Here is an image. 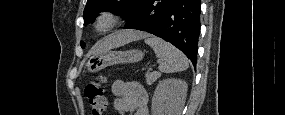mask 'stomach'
<instances>
[{
    "label": "stomach",
    "mask_w": 285,
    "mask_h": 115,
    "mask_svg": "<svg viewBox=\"0 0 285 115\" xmlns=\"http://www.w3.org/2000/svg\"><path fill=\"white\" fill-rule=\"evenodd\" d=\"M143 56L144 53L137 49L96 53L89 58L86 67L89 72L95 73L114 64L138 62Z\"/></svg>",
    "instance_id": "1"
}]
</instances>
